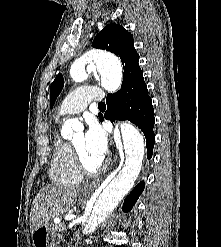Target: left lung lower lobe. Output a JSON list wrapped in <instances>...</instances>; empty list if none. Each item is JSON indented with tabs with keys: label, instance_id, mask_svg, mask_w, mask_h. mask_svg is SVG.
I'll list each match as a JSON object with an SVG mask.
<instances>
[{
	"label": "left lung lower lobe",
	"instance_id": "obj_1",
	"mask_svg": "<svg viewBox=\"0 0 221 247\" xmlns=\"http://www.w3.org/2000/svg\"><path fill=\"white\" fill-rule=\"evenodd\" d=\"M108 106L105 112V119L114 122L115 120H129L134 123L144 133L146 138L147 158L150 159L155 143L153 133L154 109L152 101L146 88L133 87L130 93L122 95L119 93L109 94L106 98ZM101 121L104 120L100 116ZM144 182H140L130 195L124 200L123 211L129 212L141 193L144 190Z\"/></svg>",
	"mask_w": 221,
	"mask_h": 247
}]
</instances>
